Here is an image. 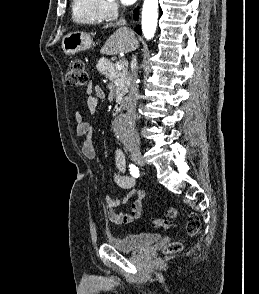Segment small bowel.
<instances>
[{"label": "small bowel", "instance_id": "obj_1", "mask_svg": "<svg viewBox=\"0 0 259 294\" xmlns=\"http://www.w3.org/2000/svg\"><path fill=\"white\" fill-rule=\"evenodd\" d=\"M87 108L90 113L94 114L97 110L98 103L105 97L104 91L98 87L89 84L87 87ZM75 132L78 136L84 137L81 144L82 154L93 159L96 156V150L92 139L93 126L85 121L83 112L77 110L74 114ZM114 159L118 170L121 173L125 172V164L120 153L114 154ZM113 179L115 183L122 189L130 190L122 198H115L111 195H105L104 202L106 205V213L109 220L117 225L130 224L141 216L145 192L143 190H134L137 180L125 174L114 173ZM131 198L130 212L117 211L116 209L122 204L127 203Z\"/></svg>", "mask_w": 259, "mask_h": 294}]
</instances>
